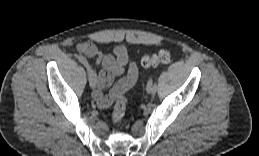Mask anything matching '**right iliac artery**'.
Segmentation results:
<instances>
[{
    "instance_id": "1",
    "label": "right iliac artery",
    "mask_w": 259,
    "mask_h": 156,
    "mask_svg": "<svg viewBox=\"0 0 259 156\" xmlns=\"http://www.w3.org/2000/svg\"><path fill=\"white\" fill-rule=\"evenodd\" d=\"M78 60L86 67L87 71L91 69L90 65L88 64L87 60L85 57L78 55L77 56Z\"/></svg>"
}]
</instances>
